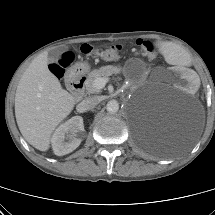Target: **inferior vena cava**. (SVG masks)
Masks as SVG:
<instances>
[{
	"label": "inferior vena cava",
	"mask_w": 215,
	"mask_h": 215,
	"mask_svg": "<svg viewBox=\"0 0 215 215\" xmlns=\"http://www.w3.org/2000/svg\"><path fill=\"white\" fill-rule=\"evenodd\" d=\"M99 103V98L97 96H90L85 98L80 104V108L83 111L92 110Z\"/></svg>",
	"instance_id": "602c4592"
}]
</instances>
